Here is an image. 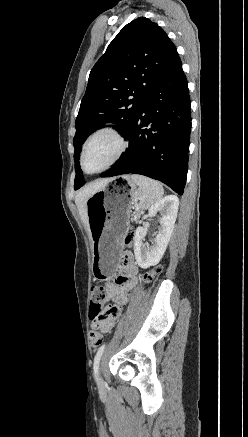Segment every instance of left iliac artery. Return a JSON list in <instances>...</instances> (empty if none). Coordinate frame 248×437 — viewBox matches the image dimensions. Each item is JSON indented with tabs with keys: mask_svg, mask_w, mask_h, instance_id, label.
<instances>
[{
	"mask_svg": "<svg viewBox=\"0 0 248 437\" xmlns=\"http://www.w3.org/2000/svg\"><path fill=\"white\" fill-rule=\"evenodd\" d=\"M104 349H105V344H103L98 349V351H97V353H96V355L94 357L93 369H94V373H95L96 378H97V373H98V368H99V362H100L101 356H102V354L104 352Z\"/></svg>",
	"mask_w": 248,
	"mask_h": 437,
	"instance_id": "obj_1",
	"label": "left iliac artery"
}]
</instances>
